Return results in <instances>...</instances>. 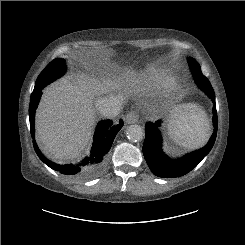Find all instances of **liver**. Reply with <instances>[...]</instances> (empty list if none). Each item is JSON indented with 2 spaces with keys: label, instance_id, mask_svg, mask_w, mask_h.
Here are the masks:
<instances>
[{
  "label": "liver",
  "instance_id": "obj_1",
  "mask_svg": "<svg viewBox=\"0 0 245 245\" xmlns=\"http://www.w3.org/2000/svg\"><path fill=\"white\" fill-rule=\"evenodd\" d=\"M124 88L129 95H163L165 84L151 83L134 73L95 78L86 73L60 80L44 90L36 111V138L43 152L59 161L73 160L88 144L95 124V107L101 96ZM121 101L124 95L116 96Z\"/></svg>",
  "mask_w": 245,
  "mask_h": 245
}]
</instances>
